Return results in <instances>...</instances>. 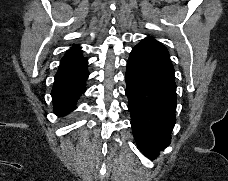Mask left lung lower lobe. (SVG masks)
I'll list each match as a JSON object with an SVG mask.
<instances>
[{
	"instance_id": "obj_1",
	"label": "left lung lower lobe",
	"mask_w": 228,
	"mask_h": 181,
	"mask_svg": "<svg viewBox=\"0 0 228 181\" xmlns=\"http://www.w3.org/2000/svg\"><path fill=\"white\" fill-rule=\"evenodd\" d=\"M133 135L141 151L155 159L171 141L176 123V84L167 49L153 38L137 44L125 75Z\"/></svg>"
}]
</instances>
